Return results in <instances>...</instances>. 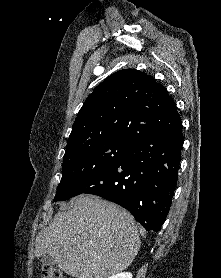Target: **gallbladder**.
I'll use <instances>...</instances> for the list:
<instances>
[{
    "label": "gallbladder",
    "instance_id": "obj_1",
    "mask_svg": "<svg viewBox=\"0 0 221 278\" xmlns=\"http://www.w3.org/2000/svg\"><path fill=\"white\" fill-rule=\"evenodd\" d=\"M41 262L43 265L47 266H54L56 264L55 259L49 254L42 255Z\"/></svg>",
    "mask_w": 221,
    "mask_h": 278
}]
</instances>
